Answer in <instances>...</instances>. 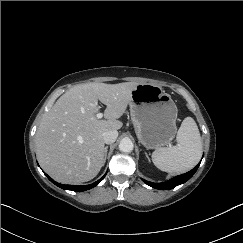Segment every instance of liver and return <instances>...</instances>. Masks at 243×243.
<instances>
[{"label":"liver","mask_w":243,"mask_h":243,"mask_svg":"<svg viewBox=\"0 0 243 243\" xmlns=\"http://www.w3.org/2000/svg\"><path fill=\"white\" fill-rule=\"evenodd\" d=\"M135 82L86 83L66 91L43 115L35 135L39 163L54 180L79 184L104 165L103 133L122 127L118 119L131 101ZM106 105L105 119L96 114Z\"/></svg>","instance_id":"6515ba94"}]
</instances>
